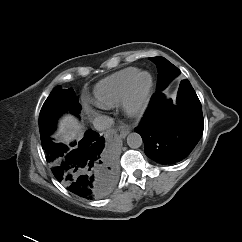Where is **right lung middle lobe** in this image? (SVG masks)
<instances>
[{
	"label": "right lung middle lobe",
	"mask_w": 242,
	"mask_h": 242,
	"mask_svg": "<svg viewBox=\"0 0 242 242\" xmlns=\"http://www.w3.org/2000/svg\"><path fill=\"white\" fill-rule=\"evenodd\" d=\"M78 101L79 99L72 88L62 90L60 86H57L52 90L39 115L41 142L53 132L56 120L63 112L78 115L81 110Z\"/></svg>",
	"instance_id": "1"
}]
</instances>
